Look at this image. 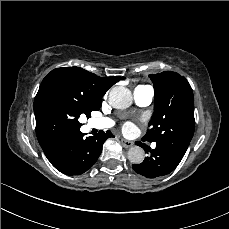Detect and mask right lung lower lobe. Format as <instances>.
Instances as JSON below:
<instances>
[{
    "mask_svg": "<svg viewBox=\"0 0 229 229\" xmlns=\"http://www.w3.org/2000/svg\"><path fill=\"white\" fill-rule=\"evenodd\" d=\"M79 130L60 139L45 154L51 164L67 175H79L87 171L97 161L102 152V145L109 137L110 131H100L94 137L83 138Z\"/></svg>",
    "mask_w": 229,
    "mask_h": 229,
    "instance_id": "right-lung-lower-lobe-1",
    "label": "right lung lower lobe"
}]
</instances>
